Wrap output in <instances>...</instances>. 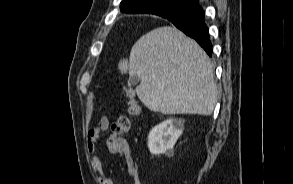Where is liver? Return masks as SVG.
Here are the masks:
<instances>
[{"label":"liver","instance_id":"6515ba94","mask_svg":"<svg viewBox=\"0 0 293 184\" xmlns=\"http://www.w3.org/2000/svg\"><path fill=\"white\" fill-rule=\"evenodd\" d=\"M129 75L139 77L136 93L154 112L211 115L217 102L208 55L175 27L156 28L136 41Z\"/></svg>","mask_w":293,"mask_h":184}]
</instances>
